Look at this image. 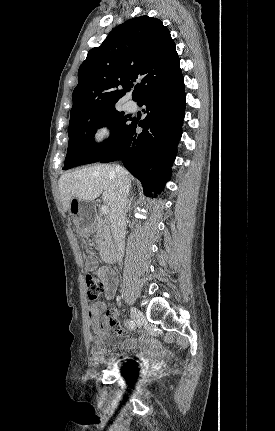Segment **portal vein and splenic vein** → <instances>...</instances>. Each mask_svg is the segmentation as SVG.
Listing matches in <instances>:
<instances>
[{"mask_svg":"<svg viewBox=\"0 0 275 431\" xmlns=\"http://www.w3.org/2000/svg\"><path fill=\"white\" fill-rule=\"evenodd\" d=\"M101 213H102L103 215L108 214V213H109V208H108V206L103 205V206L101 207Z\"/></svg>","mask_w":275,"mask_h":431,"instance_id":"obj_1","label":"portal vein and splenic vein"}]
</instances>
